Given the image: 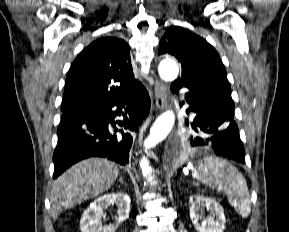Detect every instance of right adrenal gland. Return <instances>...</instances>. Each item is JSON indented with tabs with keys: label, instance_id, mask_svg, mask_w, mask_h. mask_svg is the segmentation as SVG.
Wrapping results in <instances>:
<instances>
[{
	"label": "right adrenal gland",
	"instance_id": "obj_1",
	"mask_svg": "<svg viewBox=\"0 0 289 232\" xmlns=\"http://www.w3.org/2000/svg\"><path fill=\"white\" fill-rule=\"evenodd\" d=\"M119 182H121L122 184L124 183L122 177L119 178Z\"/></svg>",
	"mask_w": 289,
	"mask_h": 232
}]
</instances>
